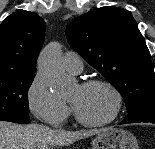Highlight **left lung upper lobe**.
I'll use <instances>...</instances> for the list:
<instances>
[{"instance_id":"5c2ea615","label":"left lung upper lobe","mask_w":155,"mask_h":149,"mask_svg":"<svg viewBox=\"0 0 155 149\" xmlns=\"http://www.w3.org/2000/svg\"><path fill=\"white\" fill-rule=\"evenodd\" d=\"M66 36L70 46L118 89L129 114L155 101L150 52L129 11L93 9L68 24Z\"/></svg>"}]
</instances>
